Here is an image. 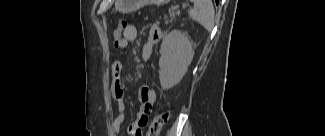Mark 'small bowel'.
<instances>
[{"label": "small bowel", "instance_id": "small-bowel-1", "mask_svg": "<svg viewBox=\"0 0 325 136\" xmlns=\"http://www.w3.org/2000/svg\"><path fill=\"white\" fill-rule=\"evenodd\" d=\"M162 32L158 26H153L148 33L147 39L142 46L141 56L148 59L151 55L152 47L161 38ZM137 38V28L133 24H126L120 30V37L117 38L114 32V44L116 49L123 50L129 43ZM112 93L116 102V115L113 120V128L120 131L125 119V94L122 83L123 65L119 61H114L111 65ZM155 94L152 88L147 85L141 86L138 93L139 110L134 121L128 126V133L133 136H143L142 129L148 124Z\"/></svg>", "mask_w": 325, "mask_h": 136}]
</instances>
